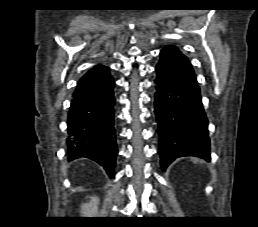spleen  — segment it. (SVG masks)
<instances>
[{
	"label": "spleen",
	"mask_w": 258,
	"mask_h": 227,
	"mask_svg": "<svg viewBox=\"0 0 258 227\" xmlns=\"http://www.w3.org/2000/svg\"><path fill=\"white\" fill-rule=\"evenodd\" d=\"M193 162H195V163H196V162H198V160H197V159H193Z\"/></svg>",
	"instance_id": "3e777b00"
}]
</instances>
